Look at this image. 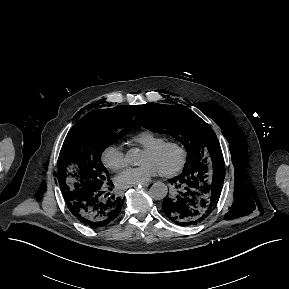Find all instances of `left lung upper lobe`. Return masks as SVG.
Wrapping results in <instances>:
<instances>
[{
    "label": "left lung upper lobe",
    "mask_w": 289,
    "mask_h": 289,
    "mask_svg": "<svg viewBox=\"0 0 289 289\" xmlns=\"http://www.w3.org/2000/svg\"><path fill=\"white\" fill-rule=\"evenodd\" d=\"M138 122L156 133L175 137L186 147L190 162L182 173L197 169L211 172L224 167L219 141L212 128L183 105L148 103L138 107Z\"/></svg>",
    "instance_id": "left-lung-upper-lobe-1"
}]
</instances>
